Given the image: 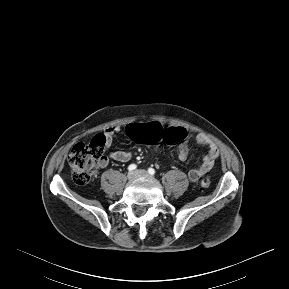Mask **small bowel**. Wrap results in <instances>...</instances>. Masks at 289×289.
<instances>
[{"mask_svg": "<svg viewBox=\"0 0 289 289\" xmlns=\"http://www.w3.org/2000/svg\"><path fill=\"white\" fill-rule=\"evenodd\" d=\"M120 131L121 127L118 125L107 128L104 131L102 135L105 138V146L107 148L111 146L114 135ZM196 141L198 144L207 148V153L204 155L201 165L198 168H194L189 171L188 176L192 182L198 181L202 176L210 172L215 164L216 159L219 156V150L216 144L208 136L204 134H198L196 136ZM109 156L112 160L122 163L128 162L132 157L130 152L124 150L112 151ZM187 157L188 146L186 142L183 141L178 146V158L181 161H185ZM106 164L107 158L102 161L101 166H105Z\"/></svg>", "mask_w": 289, "mask_h": 289, "instance_id": "obj_1", "label": "small bowel"}]
</instances>
